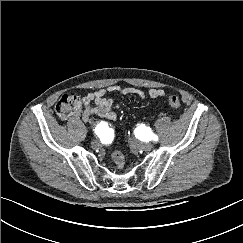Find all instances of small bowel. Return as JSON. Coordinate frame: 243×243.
Listing matches in <instances>:
<instances>
[{"label": "small bowel", "instance_id": "obj_1", "mask_svg": "<svg viewBox=\"0 0 243 243\" xmlns=\"http://www.w3.org/2000/svg\"><path fill=\"white\" fill-rule=\"evenodd\" d=\"M106 92H118L123 95H136L141 100H145L146 94L134 87H121L119 85H111L107 88L99 89L93 93H88L83 97L82 107H80L73 116L82 114V118L86 123L91 122L93 115H98L109 121H113L117 118L116 113L112 110L113 100L106 97ZM151 98H162L165 96L163 89L154 88L149 91ZM113 135L112 129L105 125L104 137L110 139Z\"/></svg>", "mask_w": 243, "mask_h": 243}]
</instances>
